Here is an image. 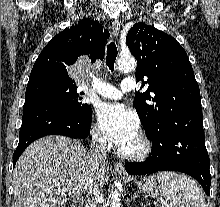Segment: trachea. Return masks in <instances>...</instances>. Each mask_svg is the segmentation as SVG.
<instances>
[{
	"label": "trachea",
	"instance_id": "3493384b",
	"mask_svg": "<svg viewBox=\"0 0 220 207\" xmlns=\"http://www.w3.org/2000/svg\"><path fill=\"white\" fill-rule=\"evenodd\" d=\"M118 51L114 42L109 43L107 46L106 63L110 70H114V63L117 57Z\"/></svg>",
	"mask_w": 220,
	"mask_h": 207
}]
</instances>
